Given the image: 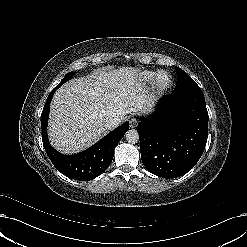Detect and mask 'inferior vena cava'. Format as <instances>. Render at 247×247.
<instances>
[{"instance_id":"inferior-vena-cava-1","label":"inferior vena cava","mask_w":247,"mask_h":247,"mask_svg":"<svg viewBox=\"0 0 247 247\" xmlns=\"http://www.w3.org/2000/svg\"><path fill=\"white\" fill-rule=\"evenodd\" d=\"M121 121L122 120L117 116L110 117L109 119H107L104 126L106 129L112 130V129L116 128L121 123Z\"/></svg>"}]
</instances>
